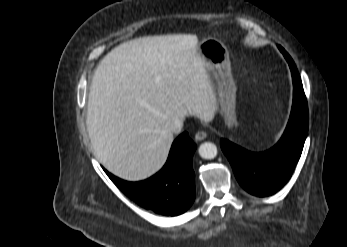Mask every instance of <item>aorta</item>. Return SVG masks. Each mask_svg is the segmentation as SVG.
<instances>
[{
    "instance_id": "762f6f07",
    "label": "aorta",
    "mask_w": 347,
    "mask_h": 247,
    "mask_svg": "<svg viewBox=\"0 0 347 247\" xmlns=\"http://www.w3.org/2000/svg\"><path fill=\"white\" fill-rule=\"evenodd\" d=\"M198 152L203 159L211 160L217 156L218 149L214 143L204 142L200 145Z\"/></svg>"
}]
</instances>
